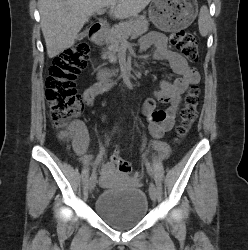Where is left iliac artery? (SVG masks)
Here are the masks:
<instances>
[{"mask_svg": "<svg viewBox=\"0 0 248 250\" xmlns=\"http://www.w3.org/2000/svg\"><path fill=\"white\" fill-rule=\"evenodd\" d=\"M147 170H148L149 174L152 176V170H151L149 163H147Z\"/></svg>", "mask_w": 248, "mask_h": 250, "instance_id": "1", "label": "left iliac artery"}]
</instances>
